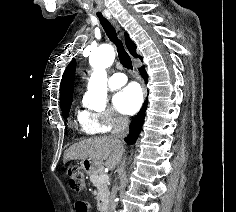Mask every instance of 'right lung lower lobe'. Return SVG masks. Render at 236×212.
<instances>
[{"mask_svg": "<svg viewBox=\"0 0 236 212\" xmlns=\"http://www.w3.org/2000/svg\"><path fill=\"white\" fill-rule=\"evenodd\" d=\"M139 71H140L141 76L144 78L145 82H147L148 76L145 71V67L142 66L139 69ZM146 108H147V100L144 102L143 107L141 108L139 113L135 116V118L132 120V122L130 124V132H129L128 136L125 138V141L128 144H133L136 141V139L138 138L139 133L142 128V125H143V122H144Z\"/></svg>", "mask_w": 236, "mask_h": 212, "instance_id": "1", "label": "right lung lower lobe"}]
</instances>
